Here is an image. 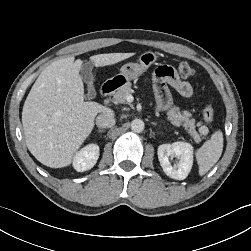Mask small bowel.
<instances>
[{"label": "small bowel", "instance_id": "small-bowel-1", "mask_svg": "<svg viewBox=\"0 0 251 251\" xmlns=\"http://www.w3.org/2000/svg\"><path fill=\"white\" fill-rule=\"evenodd\" d=\"M168 86L173 87L183 97L189 98L193 95L192 85L187 81L181 80L172 67L160 66L156 69L153 77L158 110H166L171 104Z\"/></svg>", "mask_w": 251, "mask_h": 251}]
</instances>
